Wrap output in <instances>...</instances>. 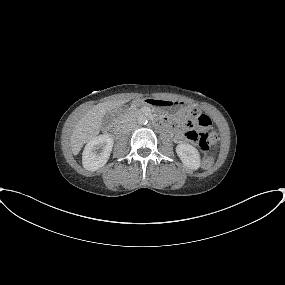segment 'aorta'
I'll list each match as a JSON object with an SVG mask.
<instances>
[{
    "label": "aorta",
    "mask_w": 285,
    "mask_h": 285,
    "mask_svg": "<svg viewBox=\"0 0 285 285\" xmlns=\"http://www.w3.org/2000/svg\"><path fill=\"white\" fill-rule=\"evenodd\" d=\"M137 121H138V124L140 125H145L148 122L147 118L143 115L139 116Z\"/></svg>",
    "instance_id": "obj_1"
}]
</instances>
